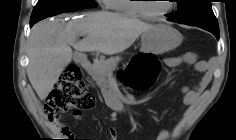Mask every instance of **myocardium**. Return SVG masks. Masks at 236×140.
I'll list each match as a JSON object with an SVG mask.
<instances>
[{"mask_svg": "<svg viewBox=\"0 0 236 140\" xmlns=\"http://www.w3.org/2000/svg\"><path fill=\"white\" fill-rule=\"evenodd\" d=\"M138 1H141V0H138ZM170 1H173V0H170ZM174 7H175L174 3L170 2L169 8L166 9L165 11L160 12V13H151L146 9L145 4H143L141 2H136L134 4V9L137 12V14L143 18H146V19L162 18V17L168 15L174 9Z\"/></svg>", "mask_w": 236, "mask_h": 140, "instance_id": "f54148a6", "label": "myocardium"}]
</instances>
